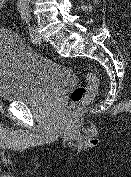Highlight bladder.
Wrapping results in <instances>:
<instances>
[{"instance_id": "31cf9c89", "label": "bladder", "mask_w": 131, "mask_h": 177, "mask_svg": "<svg viewBox=\"0 0 131 177\" xmlns=\"http://www.w3.org/2000/svg\"><path fill=\"white\" fill-rule=\"evenodd\" d=\"M75 84L70 68L35 53L13 32H0L1 100L27 103L51 99Z\"/></svg>"}]
</instances>
